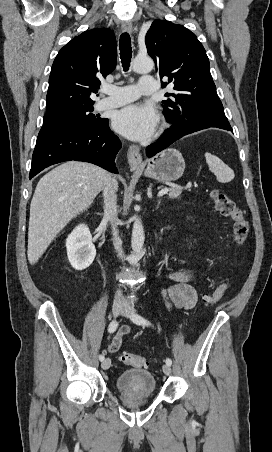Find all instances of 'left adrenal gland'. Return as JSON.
<instances>
[{"instance_id": "obj_1", "label": "left adrenal gland", "mask_w": 272, "mask_h": 452, "mask_svg": "<svg viewBox=\"0 0 272 452\" xmlns=\"http://www.w3.org/2000/svg\"><path fill=\"white\" fill-rule=\"evenodd\" d=\"M159 205H160V199L157 202L156 209L159 208Z\"/></svg>"}]
</instances>
